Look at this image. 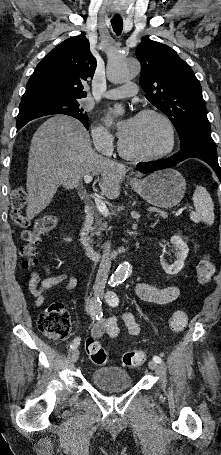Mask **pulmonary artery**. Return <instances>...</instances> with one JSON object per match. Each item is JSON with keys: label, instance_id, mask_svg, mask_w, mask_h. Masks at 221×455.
<instances>
[{"label": "pulmonary artery", "instance_id": "e3ab8cb5", "mask_svg": "<svg viewBox=\"0 0 221 455\" xmlns=\"http://www.w3.org/2000/svg\"><path fill=\"white\" fill-rule=\"evenodd\" d=\"M137 85L135 83H126L123 86L110 89L103 93V96L108 99H120L133 96L137 93Z\"/></svg>", "mask_w": 221, "mask_h": 455}]
</instances>
